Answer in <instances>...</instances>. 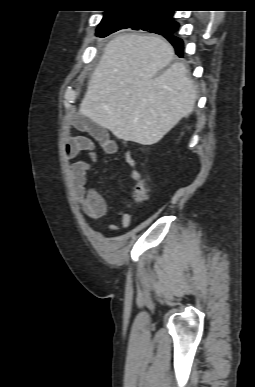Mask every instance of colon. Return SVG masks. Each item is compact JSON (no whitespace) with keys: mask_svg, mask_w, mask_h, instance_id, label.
Masks as SVG:
<instances>
[{"mask_svg":"<svg viewBox=\"0 0 255 387\" xmlns=\"http://www.w3.org/2000/svg\"><path fill=\"white\" fill-rule=\"evenodd\" d=\"M150 188L146 180L137 183L133 191V199L137 203L145 202L149 197Z\"/></svg>","mask_w":255,"mask_h":387,"instance_id":"1","label":"colon"}]
</instances>
